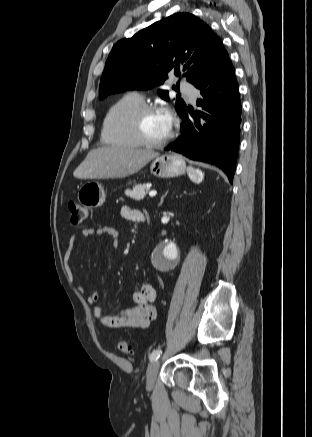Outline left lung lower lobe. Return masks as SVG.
I'll use <instances>...</instances> for the list:
<instances>
[{"label":"left lung lower lobe","mask_w":312,"mask_h":437,"mask_svg":"<svg viewBox=\"0 0 312 437\" xmlns=\"http://www.w3.org/2000/svg\"><path fill=\"white\" fill-rule=\"evenodd\" d=\"M195 87L203 97L197 101L202 109L196 113L187 109L193 120L188 118L186 109L180 114L183 118L182 134L165 150L215 164L232 183L240 142L241 101L234 69L226 51Z\"/></svg>","instance_id":"1"}]
</instances>
